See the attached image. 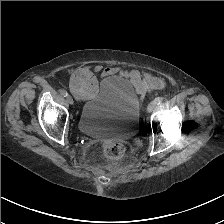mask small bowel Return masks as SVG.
I'll use <instances>...</instances> for the list:
<instances>
[{
  "label": "small bowel",
  "instance_id": "small-bowel-1",
  "mask_svg": "<svg viewBox=\"0 0 224 224\" xmlns=\"http://www.w3.org/2000/svg\"><path fill=\"white\" fill-rule=\"evenodd\" d=\"M96 74L101 76H110L114 74H119L129 80L131 86L137 93H144L154 89H161L164 87L163 80L147 73H140L137 70H122L119 67L108 66L103 67L100 64L92 65L87 67Z\"/></svg>",
  "mask_w": 224,
  "mask_h": 224
}]
</instances>
